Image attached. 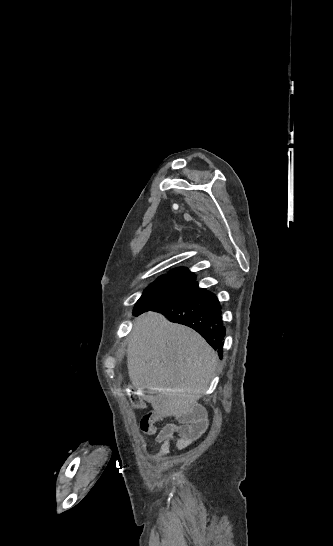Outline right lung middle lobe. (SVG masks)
Here are the masks:
<instances>
[{
	"label": "right lung middle lobe",
	"instance_id": "obj_1",
	"mask_svg": "<svg viewBox=\"0 0 333 546\" xmlns=\"http://www.w3.org/2000/svg\"><path fill=\"white\" fill-rule=\"evenodd\" d=\"M198 288V283L192 280L160 276L147 287L134 310L152 309L159 304L191 294Z\"/></svg>",
	"mask_w": 333,
	"mask_h": 546
}]
</instances>
